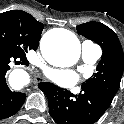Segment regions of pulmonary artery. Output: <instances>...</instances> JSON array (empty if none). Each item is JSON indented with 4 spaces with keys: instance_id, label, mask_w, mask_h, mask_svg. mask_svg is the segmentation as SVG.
<instances>
[{
    "instance_id": "e3ab8cb5",
    "label": "pulmonary artery",
    "mask_w": 124,
    "mask_h": 124,
    "mask_svg": "<svg viewBox=\"0 0 124 124\" xmlns=\"http://www.w3.org/2000/svg\"><path fill=\"white\" fill-rule=\"evenodd\" d=\"M82 59L87 64H94L101 57V48L90 41H85L81 46Z\"/></svg>"
}]
</instances>
